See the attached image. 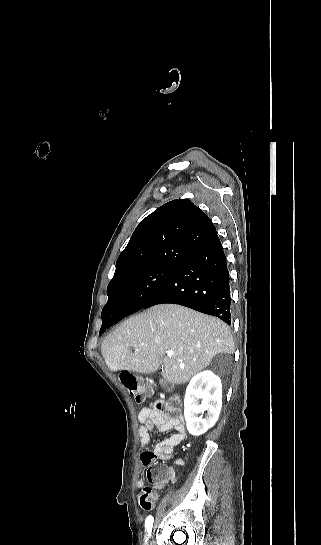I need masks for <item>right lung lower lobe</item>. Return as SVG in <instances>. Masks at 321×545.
Wrapping results in <instances>:
<instances>
[{
    "instance_id": "98d812e1",
    "label": "right lung lower lobe",
    "mask_w": 321,
    "mask_h": 545,
    "mask_svg": "<svg viewBox=\"0 0 321 545\" xmlns=\"http://www.w3.org/2000/svg\"><path fill=\"white\" fill-rule=\"evenodd\" d=\"M161 303L183 305L231 324L229 272L218 235L192 254L143 308ZM102 314L107 324L100 335L125 317L114 304L105 305Z\"/></svg>"
}]
</instances>
